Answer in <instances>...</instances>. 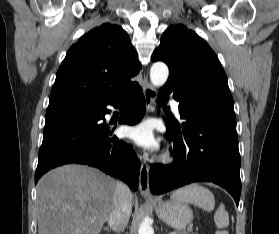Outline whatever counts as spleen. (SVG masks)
Wrapping results in <instances>:
<instances>
[{
    "instance_id": "spleen-1",
    "label": "spleen",
    "mask_w": 279,
    "mask_h": 234,
    "mask_svg": "<svg viewBox=\"0 0 279 234\" xmlns=\"http://www.w3.org/2000/svg\"><path fill=\"white\" fill-rule=\"evenodd\" d=\"M171 199L194 204L206 211H212L215 207V199L212 192L198 184H191L175 191ZM214 223L216 227L220 229L216 234H228V232L223 229L229 225V214L222 203L215 211Z\"/></svg>"
}]
</instances>
